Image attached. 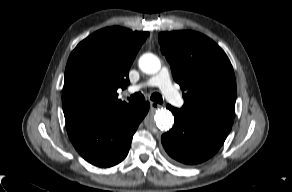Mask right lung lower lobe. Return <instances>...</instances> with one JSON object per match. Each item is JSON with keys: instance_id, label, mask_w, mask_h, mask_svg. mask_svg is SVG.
Segmentation results:
<instances>
[{"instance_id": "right-lung-lower-lobe-1", "label": "right lung lower lobe", "mask_w": 292, "mask_h": 192, "mask_svg": "<svg viewBox=\"0 0 292 192\" xmlns=\"http://www.w3.org/2000/svg\"><path fill=\"white\" fill-rule=\"evenodd\" d=\"M149 103L129 105L107 115L66 118L69 138L79 154L98 167H111L128 154L132 137Z\"/></svg>"}]
</instances>
